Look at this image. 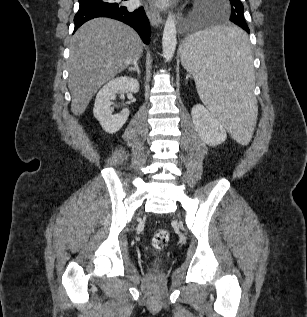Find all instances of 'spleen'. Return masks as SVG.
Returning a JSON list of instances; mask_svg holds the SVG:
<instances>
[{"label":"spleen","mask_w":307,"mask_h":317,"mask_svg":"<svg viewBox=\"0 0 307 317\" xmlns=\"http://www.w3.org/2000/svg\"><path fill=\"white\" fill-rule=\"evenodd\" d=\"M181 63L192 74L201 101L240 143L256 118L254 73L246 29L203 26L181 47Z\"/></svg>","instance_id":"1"}]
</instances>
